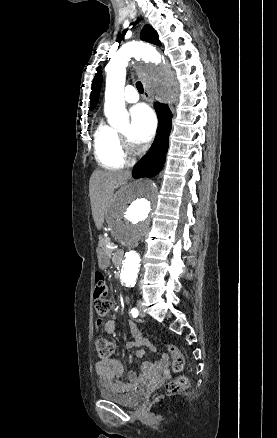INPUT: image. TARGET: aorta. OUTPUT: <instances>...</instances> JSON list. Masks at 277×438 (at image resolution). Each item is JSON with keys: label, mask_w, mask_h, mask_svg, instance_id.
<instances>
[{"label": "aorta", "mask_w": 277, "mask_h": 438, "mask_svg": "<svg viewBox=\"0 0 277 438\" xmlns=\"http://www.w3.org/2000/svg\"><path fill=\"white\" fill-rule=\"evenodd\" d=\"M131 58L144 61L139 75L144 85L168 104L177 102L179 83L174 72L166 66L160 54L148 44L141 42L123 45L106 67L105 115L115 128L128 123L125 109L124 86L126 67ZM158 190L156 184L140 179L126 187L113 202L109 214V227L116 241L125 248L121 280L126 287L136 284L140 268L138 243L148 234L155 217Z\"/></svg>", "instance_id": "1"}]
</instances>
